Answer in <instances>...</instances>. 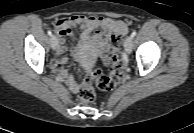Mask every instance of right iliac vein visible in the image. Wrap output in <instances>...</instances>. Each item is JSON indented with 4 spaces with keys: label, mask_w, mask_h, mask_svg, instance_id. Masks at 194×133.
I'll return each instance as SVG.
<instances>
[{
    "label": "right iliac vein",
    "mask_w": 194,
    "mask_h": 133,
    "mask_svg": "<svg viewBox=\"0 0 194 133\" xmlns=\"http://www.w3.org/2000/svg\"><path fill=\"white\" fill-rule=\"evenodd\" d=\"M58 46V41L57 38L55 36L51 37V47L53 50H56Z\"/></svg>",
    "instance_id": "right-iliac-vein-1"
}]
</instances>
